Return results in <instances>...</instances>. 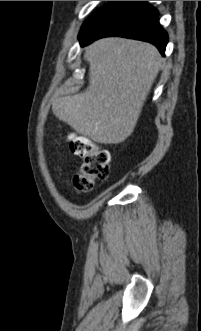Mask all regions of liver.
<instances>
[{"instance_id":"1","label":"liver","mask_w":201,"mask_h":331,"mask_svg":"<svg viewBox=\"0 0 201 331\" xmlns=\"http://www.w3.org/2000/svg\"><path fill=\"white\" fill-rule=\"evenodd\" d=\"M89 86L56 98L54 115L94 142L118 144L134 131L162 58L146 42L119 37L95 41L85 50Z\"/></svg>"}]
</instances>
